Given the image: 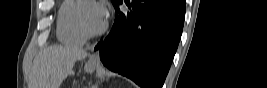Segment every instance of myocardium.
<instances>
[{"instance_id": "1", "label": "myocardium", "mask_w": 267, "mask_h": 88, "mask_svg": "<svg viewBox=\"0 0 267 88\" xmlns=\"http://www.w3.org/2000/svg\"><path fill=\"white\" fill-rule=\"evenodd\" d=\"M91 3V2H90ZM77 21L80 27L81 32L85 37H96L105 32L107 29V23H104L99 29L97 30H91L89 29L83 20L82 17V5L79 3L78 11H77Z\"/></svg>"}]
</instances>
